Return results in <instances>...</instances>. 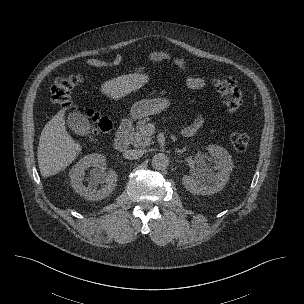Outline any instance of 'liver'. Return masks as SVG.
Instances as JSON below:
<instances>
[{
	"label": "liver",
	"mask_w": 304,
	"mask_h": 304,
	"mask_svg": "<svg viewBox=\"0 0 304 304\" xmlns=\"http://www.w3.org/2000/svg\"><path fill=\"white\" fill-rule=\"evenodd\" d=\"M149 81L146 74H128L114 78L102 85L101 92L118 100L132 91L143 87ZM60 110L43 128L37 150V159L42 177L59 173L70 165L81 152L82 146L67 132L64 116Z\"/></svg>",
	"instance_id": "1"
}]
</instances>
